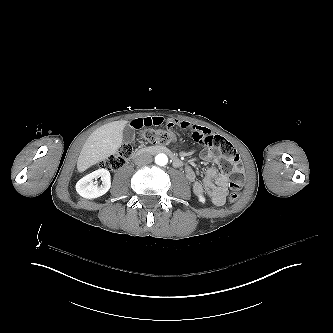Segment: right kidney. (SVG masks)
Segmentation results:
<instances>
[{
	"label": "right kidney",
	"mask_w": 333,
	"mask_h": 333,
	"mask_svg": "<svg viewBox=\"0 0 333 333\" xmlns=\"http://www.w3.org/2000/svg\"><path fill=\"white\" fill-rule=\"evenodd\" d=\"M101 177L102 185L93 183V179ZM111 187L110 173L106 169H98L76 183V191L83 198L92 199L104 195Z\"/></svg>",
	"instance_id": "1"
}]
</instances>
